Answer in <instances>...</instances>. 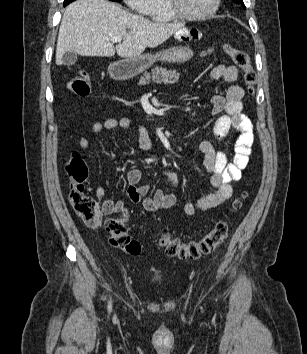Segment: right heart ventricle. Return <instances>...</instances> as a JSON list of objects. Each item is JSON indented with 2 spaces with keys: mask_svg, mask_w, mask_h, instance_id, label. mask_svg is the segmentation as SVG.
<instances>
[{
  "mask_svg": "<svg viewBox=\"0 0 307 354\" xmlns=\"http://www.w3.org/2000/svg\"><path fill=\"white\" fill-rule=\"evenodd\" d=\"M147 15L155 22H170L176 19L168 9L166 0H153Z\"/></svg>",
  "mask_w": 307,
  "mask_h": 354,
  "instance_id": "right-heart-ventricle-1",
  "label": "right heart ventricle"
}]
</instances>
